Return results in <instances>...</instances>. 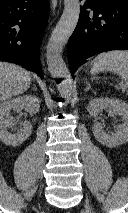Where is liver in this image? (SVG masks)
Masks as SVG:
<instances>
[{"instance_id": "liver-1", "label": "liver", "mask_w": 128, "mask_h": 213, "mask_svg": "<svg viewBox=\"0 0 128 213\" xmlns=\"http://www.w3.org/2000/svg\"><path fill=\"white\" fill-rule=\"evenodd\" d=\"M30 85L28 71L19 65L0 61V102L24 93Z\"/></svg>"}]
</instances>
